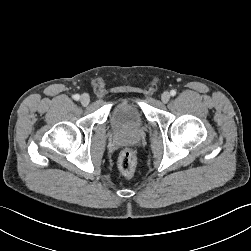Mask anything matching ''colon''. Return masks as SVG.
<instances>
[{
    "label": "colon",
    "mask_w": 251,
    "mask_h": 251,
    "mask_svg": "<svg viewBox=\"0 0 251 251\" xmlns=\"http://www.w3.org/2000/svg\"><path fill=\"white\" fill-rule=\"evenodd\" d=\"M119 169L126 178L131 179L134 177L136 170V156L133 151L126 149L121 152L119 156Z\"/></svg>",
    "instance_id": "colon-1"
}]
</instances>
